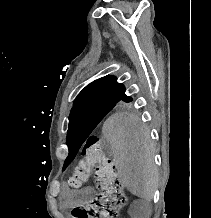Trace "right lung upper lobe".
<instances>
[{
  "label": "right lung upper lobe",
  "mask_w": 211,
  "mask_h": 218,
  "mask_svg": "<svg viewBox=\"0 0 211 218\" xmlns=\"http://www.w3.org/2000/svg\"><path fill=\"white\" fill-rule=\"evenodd\" d=\"M124 86L114 76H105L86 86L76 97L74 106L91 101L123 100Z\"/></svg>",
  "instance_id": "cb5924a9"
}]
</instances>
